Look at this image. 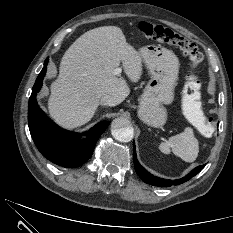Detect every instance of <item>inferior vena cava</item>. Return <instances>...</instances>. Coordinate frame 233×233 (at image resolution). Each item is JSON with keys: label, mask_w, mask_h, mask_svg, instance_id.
I'll use <instances>...</instances> for the list:
<instances>
[{"label": "inferior vena cava", "mask_w": 233, "mask_h": 233, "mask_svg": "<svg viewBox=\"0 0 233 233\" xmlns=\"http://www.w3.org/2000/svg\"><path fill=\"white\" fill-rule=\"evenodd\" d=\"M100 104L101 105H106V106H114L116 104V100L113 96L111 95H104L100 99Z\"/></svg>", "instance_id": "inferior-vena-cava-1"}]
</instances>
